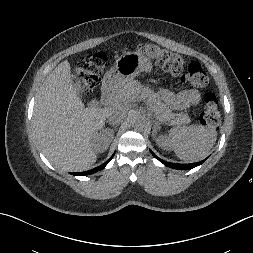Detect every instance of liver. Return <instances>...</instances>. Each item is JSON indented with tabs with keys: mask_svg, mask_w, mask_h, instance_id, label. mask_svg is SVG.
Segmentation results:
<instances>
[{
	"mask_svg": "<svg viewBox=\"0 0 253 253\" xmlns=\"http://www.w3.org/2000/svg\"><path fill=\"white\" fill-rule=\"evenodd\" d=\"M127 95L114 106L126 107L145 97L141 86L127 83ZM112 105V106H113ZM109 108L85 107L71 78L70 63L61 62L46 78L38 92L32 124L39 146L56 167L83 171L97 159L93 137L103 127Z\"/></svg>",
	"mask_w": 253,
	"mask_h": 253,
	"instance_id": "6515ba94",
	"label": "liver"
}]
</instances>
